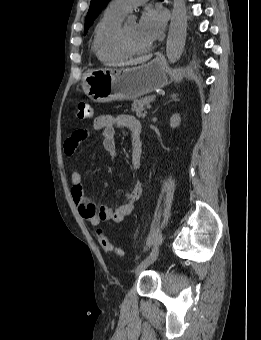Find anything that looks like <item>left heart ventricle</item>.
Here are the masks:
<instances>
[{
    "label": "left heart ventricle",
    "instance_id": "1",
    "mask_svg": "<svg viewBox=\"0 0 261 340\" xmlns=\"http://www.w3.org/2000/svg\"><path fill=\"white\" fill-rule=\"evenodd\" d=\"M126 33L131 45L136 49H144L148 47L149 42L140 34L138 24L131 21L125 24Z\"/></svg>",
    "mask_w": 261,
    "mask_h": 340
}]
</instances>
